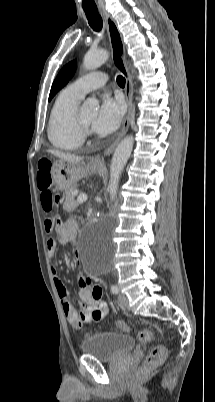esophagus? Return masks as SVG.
I'll return each mask as SVG.
<instances>
[{
    "label": "esophagus",
    "mask_w": 215,
    "mask_h": 402,
    "mask_svg": "<svg viewBox=\"0 0 215 402\" xmlns=\"http://www.w3.org/2000/svg\"><path fill=\"white\" fill-rule=\"evenodd\" d=\"M100 14H101L102 18L104 19L106 26H107L111 49H112L113 62L126 80L125 97H126V102L128 105V111H127V114L123 121L122 129H121L118 137L116 138V140L104 151L103 154H98L92 159V164L95 166L104 165L105 156H109L113 152V150L115 149V147L118 144V142L120 141V139L127 132L128 127H129L131 113H132V95H133V85H132L131 76H130V73L128 71V67L126 64V60H125V45L122 40V35L116 25V22L114 21L112 16L106 10H104V9L100 10Z\"/></svg>",
    "instance_id": "obj_1"
}]
</instances>
